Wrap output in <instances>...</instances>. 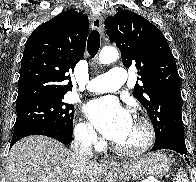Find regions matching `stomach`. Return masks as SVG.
Instances as JSON below:
<instances>
[{"label":"stomach","instance_id":"1","mask_svg":"<svg viewBox=\"0 0 196 182\" xmlns=\"http://www.w3.org/2000/svg\"><path fill=\"white\" fill-rule=\"evenodd\" d=\"M171 167V160L166 154L156 152L126 162L116 169V173L125 181L138 179L146 175L150 177H163Z\"/></svg>","mask_w":196,"mask_h":182}]
</instances>
